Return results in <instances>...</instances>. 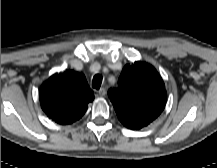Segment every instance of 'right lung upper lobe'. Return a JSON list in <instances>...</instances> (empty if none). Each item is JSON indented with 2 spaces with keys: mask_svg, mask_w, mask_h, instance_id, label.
Instances as JSON below:
<instances>
[{
  "mask_svg": "<svg viewBox=\"0 0 217 168\" xmlns=\"http://www.w3.org/2000/svg\"><path fill=\"white\" fill-rule=\"evenodd\" d=\"M39 96L43 111L61 125L80 119L94 99L84 75L74 70L52 75L41 86Z\"/></svg>",
  "mask_w": 217,
  "mask_h": 168,
  "instance_id": "cb5924a9",
  "label": "right lung upper lobe"
}]
</instances>
